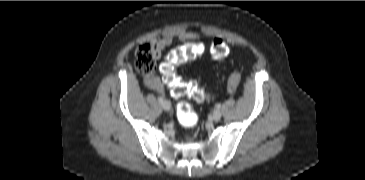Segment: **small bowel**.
<instances>
[{"label":"small bowel","mask_w":365,"mask_h":180,"mask_svg":"<svg viewBox=\"0 0 365 180\" xmlns=\"http://www.w3.org/2000/svg\"><path fill=\"white\" fill-rule=\"evenodd\" d=\"M195 37H196L195 33L191 32V31H187V30L181 31L177 34V38L180 42L191 40V39H194ZM172 43H173L172 36H166L162 39L154 41L152 43V48L155 51L156 57L159 58L162 55L163 51L167 47L171 46ZM145 83L147 84V86L149 88L156 90V91H162L163 87H164L161 78H159L158 76H155V75L147 76L145 78Z\"/></svg>","instance_id":"1"}]
</instances>
